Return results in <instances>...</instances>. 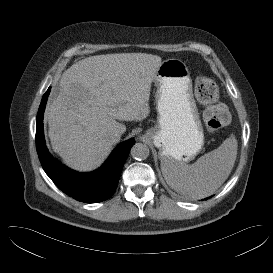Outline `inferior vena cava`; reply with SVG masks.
I'll return each instance as SVG.
<instances>
[{"instance_id": "602c4592", "label": "inferior vena cava", "mask_w": 273, "mask_h": 273, "mask_svg": "<svg viewBox=\"0 0 273 273\" xmlns=\"http://www.w3.org/2000/svg\"><path fill=\"white\" fill-rule=\"evenodd\" d=\"M110 140L113 142V143H117L119 142L120 140V135L118 133H112L110 135Z\"/></svg>"}]
</instances>
